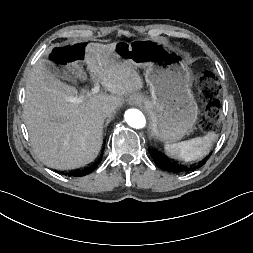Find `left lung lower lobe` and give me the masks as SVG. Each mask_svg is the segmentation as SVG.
<instances>
[{
	"label": "left lung lower lobe",
	"instance_id": "obj_1",
	"mask_svg": "<svg viewBox=\"0 0 253 253\" xmlns=\"http://www.w3.org/2000/svg\"><path fill=\"white\" fill-rule=\"evenodd\" d=\"M151 156L153 157V160L157 164L158 167H160L163 170L173 172V173H181L186 171H194L195 169H198L201 167L205 162H201L197 166L185 168L182 166H179L175 163L170 162L168 159L163 158L162 156L158 155L157 153L151 152Z\"/></svg>",
	"mask_w": 253,
	"mask_h": 253
}]
</instances>
